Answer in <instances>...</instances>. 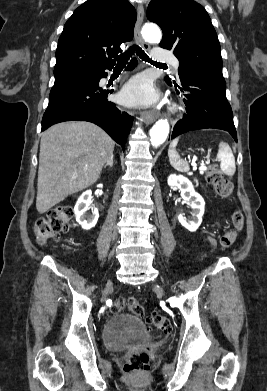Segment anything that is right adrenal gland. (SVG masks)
<instances>
[{"instance_id":"right-adrenal-gland-1","label":"right adrenal gland","mask_w":267,"mask_h":391,"mask_svg":"<svg viewBox=\"0 0 267 391\" xmlns=\"http://www.w3.org/2000/svg\"><path fill=\"white\" fill-rule=\"evenodd\" d=\"M113 157L105 164L104 166V169L107 167V166H110L111 168L113 167Z\"/></svg>"}]
</instances>
